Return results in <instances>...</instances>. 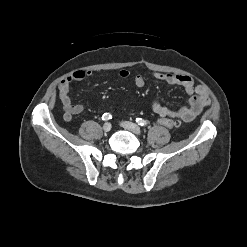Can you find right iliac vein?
Returning <instances> with one entry per match:
<instances>
[{
  "label": "right iliac vein",
  "mask_w": 247,
  "mask_h": 247,
  "mask_svg": "<svg viewBox=\"0 0 247 247\" xmlns=\"http://www.w3.org/2000/svg\"><path fill=\"white\" fill-rule=\"evenodd\" d=\"M103 130H104V132H109L110 130H111V124L110 123H105L104 125H103Z\"/></svg>",
  "instance_id": "1"
}]
</instances>
